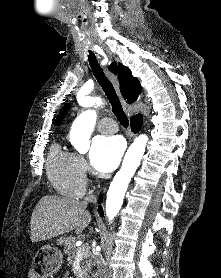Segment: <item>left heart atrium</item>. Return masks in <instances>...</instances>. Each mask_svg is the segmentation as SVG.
<instances>
[{
    "label": "left heart atrium",
    "instance_id": "39dd6f15",
    "mask_svg": "<svg viewBox=\"0 0 221 278\" xmlns=\"http://www.w3.org/2000/svg\"><path fill=\"white\" fill-rule=\"evenodd\" d=\"M124 143L117 136L96 137L91 146L90 163L100 173L112 172L121 159Z\"/></svg>",
    "mask_w": 221,
    "mask_h": 278
}]
</instances>
